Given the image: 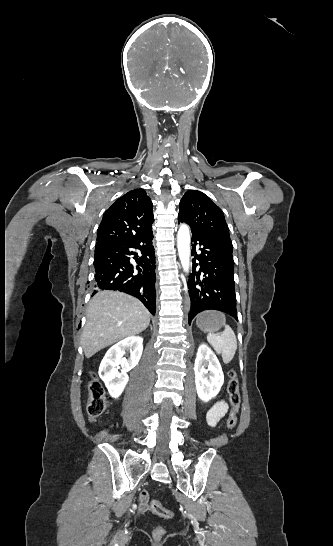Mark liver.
Masks as SVG:
<instances>
[{"label":"liver","mask_w":333,"mask_h":546,"mask_svg":"<svg viewBox=\"0 0 333 546\" xmlns=\"http://www.w3.org/2000/svg\"><path fill=\"white\" fill-rule=\"evenodd\" d=\"M86 317L81 343L87 358L126 337L142 333L150 323V313L138 299L116 291L95 294Z\"/></svg>","instance_id":"6515ba94"}]
</instances>
